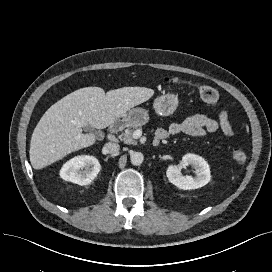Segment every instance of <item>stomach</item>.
Masks as SVG:
<instances>
[{
    "instance_id": "0dacf381",
    "label": "stomach",
    "mask_w": 272,
    "mask_h": 272,
    "mask_svg": "<svg viewBox=\"0 0 272 272\" xmlns=\"http://www.w3.org/2000/svg\"><path fill=\"white\" fill-rule=\"evenodd\" d=\"M179 104L178 96L174 93H163L154 100L153 107L155 112L160 116L172 115ZM124 126H142L149 121L148 111L137 107L132 108L119 118Z\"/></svg>"
}]
</instances>
